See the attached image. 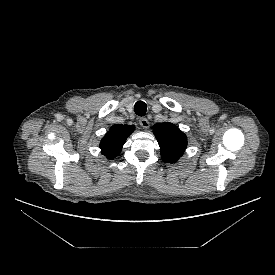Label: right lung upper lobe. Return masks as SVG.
Here are the masks:
<instances>
[{
	"label": "right lung upper lobe",
	"mask_w": 275,
	"mask_h": 275,
	"mask_svg": "<svg viewBox=\"0 0 275 275\" xmlns=\"http://www.w3.org/2000/svg\"><path fill=\"white\" fill-rule=\"evenodd\" d=\"M134 128V125L117 124L112 126L100 143L103 155L108 159L119 155L127 137L134 131Z\"/></svg>",
	"instance_id": "cb5924a9"
}]
</instances>
